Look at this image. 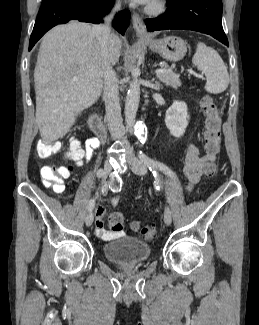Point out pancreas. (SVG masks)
<instances>
[{
  "mask_svg": "<svg viewBox=\"0 0 259 325\" xmlns=\"http://www.w3.org/2000/svg\"><path fill=\"white\" fill-rule=\"evenodd\" d=\"M165 72L161 74H157V77L161 82L165 85L170 86L172 88H178L181 86V81L179 79V74H175L172 69L168 67H164Z\"/></svg>",
  "mask_w": 259,
  "mask_h": 325,
  "instance_id": "cf45deb5",
  "label": "pancreas"
}]
</instances>
